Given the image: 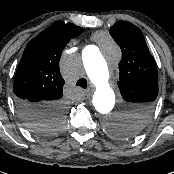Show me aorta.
Returning a JSON list of instances; mask_svg holds the SVG:
<instances>
[{"label":"aorta","instance_id":"obj_1","mask_svg":"<svg viewBox=\"0 0 174 174\" xmlns=\"http://www.w3.org/2000/svg\"><path fill=\"white\" fill-rule=\"evenodd\" d=\"M120 58V48L109 38H106L105 57L89 48L83 51L84 67L95 88L93 105L99 113L102 126L110 132L111 125L120 122L124 114L110 112L114 106L115 95L109 84L110 76L106 60L110 63H117Z\"/></svg>","mask_w":174,"mask_h":174}]
</instances>
